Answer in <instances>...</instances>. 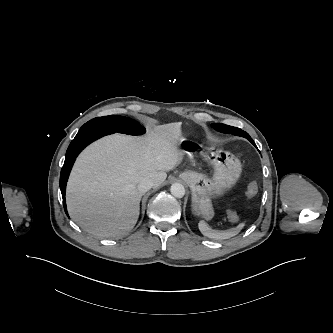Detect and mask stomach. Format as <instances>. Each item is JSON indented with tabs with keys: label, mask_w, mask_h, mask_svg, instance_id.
<instances>
[{
	"label": "stomach",
	"mask_w": 333,
	"mask_h": 333,
	"mask_svg": "<svg viewBox=\"0 0 333 333\" xmlns=\"http://www.w3.org/2000/svg\"><path fill=\"white\" fill-rule=\"evenodd\" d=\"M193 151L212 166V177L193 170H185L179 177L190 186L193 213L209 221L214 216L211 198L224 194L235 185L242 166L239 159L228 151L199 147Z\"/></svg>",
	"instance_id": "0dacf381"
}]
</instances>
